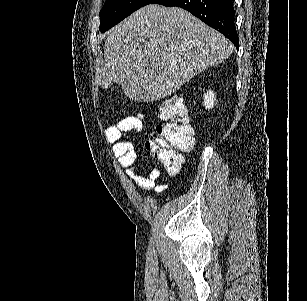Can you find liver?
<instances>
[{
	"instance_id": "obj_1",
	"label": "liver",
	"mask_w": 307,
	"mask_h": 301,
	"mask_svg": "<svg viewBox=\"0 0 307 301\" xmlns=\"http://www.w3.org/2000/svg\"><path fill=\"white\" fill-rule=\"evenodd\" d=\"M105 34L97 82L102 88L118 82L137 102L169 96L199 72L224 62L234 48L188 10L161 4L142 6Z\"/></svg>"
}]
</instances>
